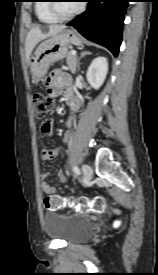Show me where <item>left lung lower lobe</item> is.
Instances as JSON below:
<instances>
[{
	"instance_id": "1",
	"label": "left lung lower lobe",
	"mask_w": 158,
	"mask_h": 275,
	"mask_svg": "<svg viewBox=\"0 0 158 275\" xmlns=\"http://www.w3.org/2000/svg\"><path fill=\"white\" fill-rule=\"evenodd\" d=\"M89 2L88 9L68 25L73 26L87 39L108 48L114 56H117L122 41L128 0H90ZM99 2H105L100 9L97 8Z\"/></svg>"
}]
</instances>
